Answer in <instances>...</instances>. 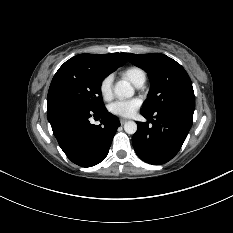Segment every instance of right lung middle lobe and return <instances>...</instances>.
Masks as SVG:
<instances>
[{
  "label": "right lung middle lobe",
  "instance_id": "dd1d6c3e",
  "mask_svg": "<svg viewBox=\"0 0 233 233\" xmlns=\"http://www.w3.org/2000/svg\"><path fill=\"white\" fill-rule=\"evenodd\" d=\"M109 72L80 62H65L54 75L47 105L69 103L98 111L104 109L100 86Z\"/></svg>",
  "mask_w": 233,
  "mask_h": 233
}]
</instances>
